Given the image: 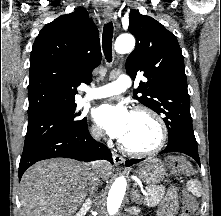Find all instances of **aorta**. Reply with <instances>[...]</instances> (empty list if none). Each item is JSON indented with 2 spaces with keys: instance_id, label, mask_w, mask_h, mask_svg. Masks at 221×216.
Wrapping results in <instances>:
<instances>
[{
  "instance_id": "1",
  "label": "aorta",
  "mask_w": 221,
  "mask_h": 216,
  "mask_svg": "<svg viewBox=\"0 0 221 216\" xmlns=\"http://www.w3.org/2000/svg\"><path fill=\"white\" fill-rule=\"evenodd\" d=\"M135 47V39L130 34H122L115 41V50L119 54L131 52ZM127 182L124 177H118L112 184L108 198L107 211L109 215H115L122 203L126 192Z\"/></svg>"
}]
</instances>
